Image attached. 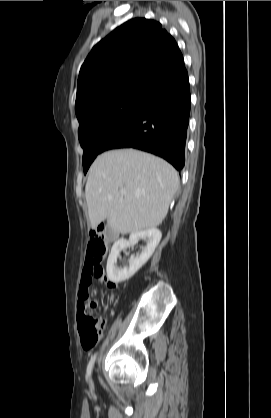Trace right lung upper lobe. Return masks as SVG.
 Returning a JSON list of instances; mask_svg holds the SVG:
<instances>
[{"label":"right lung upper lobe","instance_id":"obj_1","mask_svg":"<svg viewBox=\"0 0 271 418\" xmlns=\"http://www.w3.org/2000/svg\"><path fill=\"white\" fill-rule=\"evenodd\" d=\"M185 70L175 39L161 24L132 19L97 43L83 63L76 113L122 94L151 99Z\"/></svg>","mask_w":271,"mask_h":418}]
</instances>
